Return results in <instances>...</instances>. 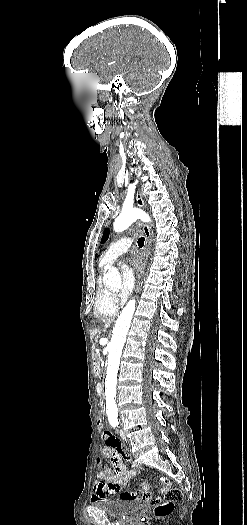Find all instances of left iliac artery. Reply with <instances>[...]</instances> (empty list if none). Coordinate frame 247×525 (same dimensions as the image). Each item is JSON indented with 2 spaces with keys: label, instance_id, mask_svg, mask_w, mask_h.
<instances>
[{
  "label": "left iliac artery",
  "instance_id": "44dca946",
  "mask_svg": "<svg viewBox=\"0 0 247 525\" xmlns=\"http://www.w3.org/2000/svg\"><path fill=\"white\" fill-rule=\"evenodd\" d=\"M117 425H118V423H116V422H113V423H112V426H113V427H116Z\"/></svg>",
  "mask_w": 247,
  "mask_h": 525
}]
</instances>
